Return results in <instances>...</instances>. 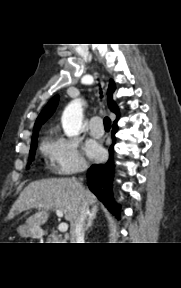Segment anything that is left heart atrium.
<instances>
[{
    "instance_id": "39dd6f15",
    "label": "left heart atrium",
    "mask_w": 181,
    "mask_h": 288,
    "mask_svg": "<svg viewBox=\"0 0 181 288\" xmlns=\"http://www.w3.org/2000/svg\"><path fill=\"white\" fill-rule=\"evenodd\" d=\"M85 151L90 158L100 159L103 155V151L99 145L93 142L86 144Z\"/></svg>"
}]
</instances>
